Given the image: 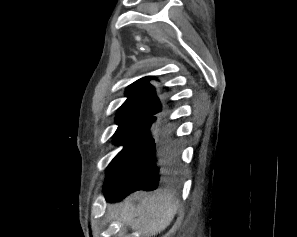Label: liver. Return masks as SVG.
<instances>
[{
	"mask_svg": "<svg viewBox=\"0 0 297 237\" xmlns=\"http://www.w3.org/2000/svg\"><path fill=\"white\" fill-rule=\"evenodd\" d=\"M177 208L173 196L167 192H137L119 204L116 211L118 218L142 237H154L171 224Z\"/></svg>",
	"mask_w": 297,
	"mask_h": 237,
	"instance_id": "6515ba94",
	"label": "liver"
}]
</instances>
